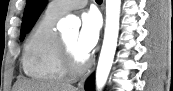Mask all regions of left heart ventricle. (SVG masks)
I'll use <instances>...</instances> for the list:
<instances>
[{
  "mask_svg": "<svg viewBox=\"0 0 173 91\" xmlns=\"http://www.w3.org/2000/svg\"><path fill=\"white\" fill-rule=\"evenodd\" d=\"M77 32L69 33L64 36L65 41L68 43L74 54L78 59H84L83 57L77 50L76 42H77Z\"/></svg>",
  "mask_w": 173,
  "mask_h": 91,
  "instance_id": "left-heart-ventricle-1",
  "label": "left heart ventricle"
}]
</instances>
